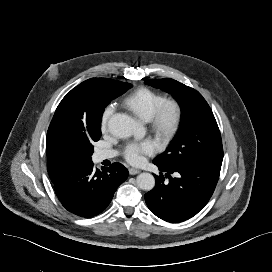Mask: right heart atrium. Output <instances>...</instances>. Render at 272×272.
<instances>
[{"mask_svg": "<svg viewBox=\"0 0 272 272\" xmlns=\"http://www.w3.org/2000/svg\"><path fill=\"white\" fill-rule=\"evenodd\" d=\"M113 110H114V107L112 104H109L105 107L101 116V121H100V126L102 130H105L107 128L108 121L112 115Z\"/></svg>", "mask_w": 272, "mask_h": 272, "instance_id": "right-heart-atrium-1", "label": "right heart atrium"}]
</instances>
